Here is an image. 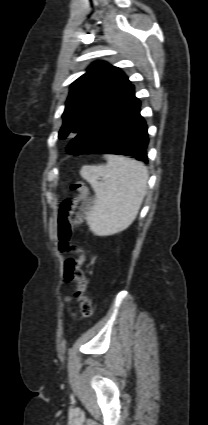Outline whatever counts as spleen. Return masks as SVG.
Segmentation results:
<instances>
[{"mask_svg": "<svg viewBox=\"0 0 208 425\" xmlns=\"http://www.w3.org/2000/svg\"><path fill=\"white\" fill-rule=\"evenodd\" d=\"M106 164L84 165L80 170L95 192L86 214L90 230L99 236L113 235L135 220L147 191L148 170L139 161L106 154Z\"/></svg>", "mask_w": 208, "mask_h": 425, "instance_id": "spleen-1", "label": "spleen"}]
</instances>
